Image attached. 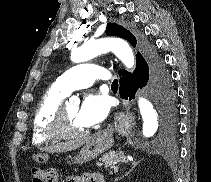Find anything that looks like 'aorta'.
I'll use <instances>...</instances> for the list:
<instances>
[{
  "label": "aorta",
  "mask_w": 211,
  "mask_h": 182,
  "mask_svg": "<svg viewBox=\"0 0 211 182\" xmlns=\"http://www.w3.org/2000/svg\"><path fill=\"white\" fill-rule=\"evenodd\" d=\"M112 51L128 69L135 65V58L128 43L119 38H102L90 40L71 53V60L75 63L90 60L100 54ZM138 106L143 119L142 132L145 137H152L159 126V115L151 102L139 98Z\"/></svg>",
  "instance_id": "aorta-1"
}]
</instances>
